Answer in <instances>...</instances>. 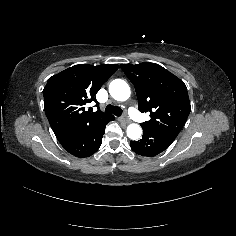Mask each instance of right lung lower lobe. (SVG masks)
Here are the masks:
<instances>
[{
  "label": "right lung lower lobe",
  "instance_id": "98d812e1",
  "mask_svg": "<svg viewBox=\"0 0 236 236\" xmlns=\"http://www.w3.org/2000/svg\"><path fill=\"white\" fill-rule=\"evenodd\" d=\"M111 120H114V117L101 119L58 141L70 154L79 158L89 157L101 146L105 126Z\"/></svg>",
  "mask_w": 236,
  "mask_h": 236
}]
</instances>
